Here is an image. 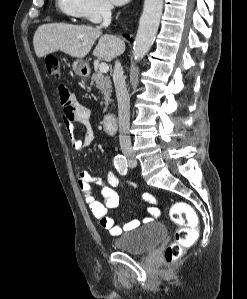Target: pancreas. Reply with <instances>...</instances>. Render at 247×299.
Masks as SVG:
<instances>
[{
    "label": "pancreas",
    "instance_id": "1",
    "mask_svg": "<svg viewBox=\"0 0 247 299\" xmlns=\"http://www.w3.org/2000/svg\"><path fill=\"white\" fill-rule=\"evenodd\" d=\"M109 76H105L102 73H94L91 77L90 86L96 88L99 93L103 95V101L106 106L104 111H107L109 102L111 101L110 96L112 92V85ZM103 103V102H101Z\"/></svg>",
    "mask_w": 247,
    "mask_h": 299
}]
</instances>
